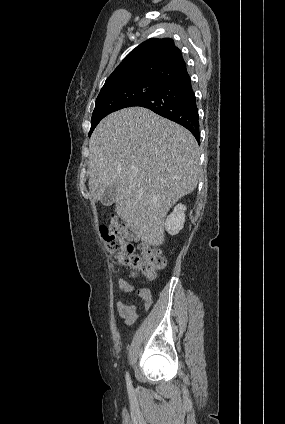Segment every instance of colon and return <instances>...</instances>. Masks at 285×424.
Returning a JSON list of instances; mask_svg holds the SVG:
<instances>
[{"label":"colon","mask_w":285,"mask_h":424,"mask_svg":"<svg viewBox=\"0 0 285 424\" xmlns=\"http://www.w3.org/2000/svg\"><path fill=\"white\" fill-rule=\"evenodd\" d=\"M99 230L115 265L130 268L134 276L151 280L166 266L165 257L156 248L144 246L142 253L137 254L129 242L132 238L129 228L116 217L102 223Z\"/></svg>","instance_id":"obj_1"}]
</instances>
